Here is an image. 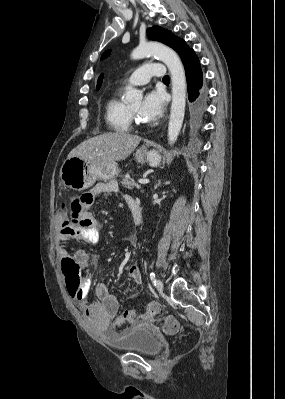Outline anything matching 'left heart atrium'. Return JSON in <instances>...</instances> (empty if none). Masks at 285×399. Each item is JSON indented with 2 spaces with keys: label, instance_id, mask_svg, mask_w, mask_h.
<instances>
[{
  "label": "left heart atrium",
  "instance_id": "obj_1",
  "mask_svg": "<svg viewBox=\"0 0 285 399\" xmlns=\"http://www.w3.org/2000/svg\"><path fill=\"white\" fill-rule=\"evenodd\" d=\"M164 107L165 99L162 93L152 90L144 96L139 115L143 120L154 121L163 114Z\"/></svg>",
  "mask_w": 285,
  "mask_h": 399
}]
</instances>
